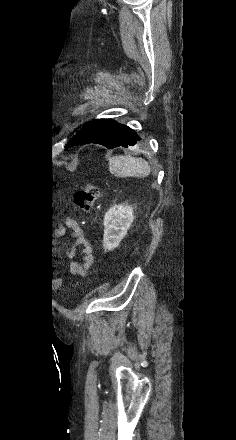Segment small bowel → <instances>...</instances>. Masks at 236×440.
Returning a JSON list of instances; mask_svg holds the SVG:
<instances>
[{"mask_svg": "<svg viewBox=\"0 0 236 440\" xmlns=\"http://www.w3.org/2000/svg\"><path fill=\"white\" fill-rule=\"evenodd\" d=\"M65 224L72 229L73 246L68 254L74 260L70 264V272L77 277H84L88 274L93 265V249L84 237L83 230L73 218H65ZM60 234V229L57 230ZM79 257V259H76Z\"/></svg>", "mask_w": 236, "mask_h": 440, "instance_id": "1", "label": "small bowel"}]
</instances>
